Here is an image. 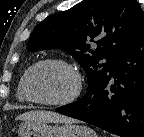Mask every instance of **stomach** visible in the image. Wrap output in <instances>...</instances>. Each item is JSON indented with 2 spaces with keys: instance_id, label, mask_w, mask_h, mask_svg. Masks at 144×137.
<instances>
[{
  "instance_id": "obj_1",
  "label": "stomach",
  "mask_w": 144,
  "mask_h": 137,
  "mask_svg": "<svg viewBox=\"0 0 144 137\" xmlns=\"http://www.w3.org/2000/svg\"><path fill=\"white\" fill-rule=\"evenodd\" d=\"M18 137H97L87 126L65 122L62 125L48 122H25L17 130Z\"/></svg>"
}]
</instances>
